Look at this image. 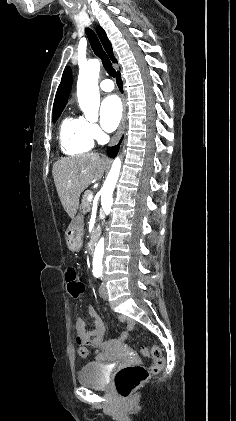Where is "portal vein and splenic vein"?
I'll return each instance as SVG.
<instances>
[{"label":"portal vein and splenic vein","mask_w":236,"mask_h":421,"mask_svg":"<svg viewBox=\"0 0 236 421\" xmlns=\"http://www.w3.org/2000/svg\"><path fill=\"white\" fill-rule=\"evenodd\" d=\"M93 196L92 194H88V200H92Z\"/></svg>","instance_id":"18ae733b"}]
</instances>
